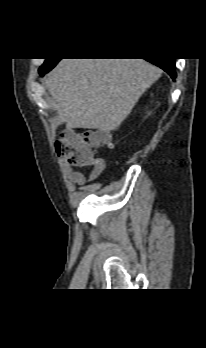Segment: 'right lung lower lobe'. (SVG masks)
<instances>
[{"label":"right lung lower lobe","instance_id":"obj_1","mask_svg":"<svg viewBox=\"0 0 206 348\" xmlns=\"http://www.w3.org/2000/svg\"><path fill=\"white\" fill-rule=\"evenodd\" d=\"M59 61V60H57ZM147 61L155 64L156 66L162 68L165 72H167L171 78L174 80L176 78L175 72V59L170 58H153L147 59ZM54 66L46 68L44 70L39 71L40 75L43 76L46 72L50 71Z\"/></svg>","mask_w":206,"mask_h":348}]
</instances>
